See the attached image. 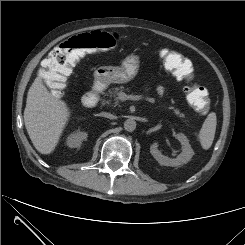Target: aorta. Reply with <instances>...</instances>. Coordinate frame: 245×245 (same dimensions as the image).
Returning <instances> with one entry per match:
<instances>
[{
  "label": "aorta",
  "instance_id": "1",
  "mask_svg": "<svg viewBox=\"0 0 245 245\" xmlns=\"http://www.w3.org/2000/svg\"><path fill=\"white\" fill-rule=\"evenodd\" d=\"M136 125V121L132 118H129L124 122V129L128 132H132L136 129Z\"/></svg>",
  "mask_w": 245,
  "mask_h": 245
}]
</instances>
